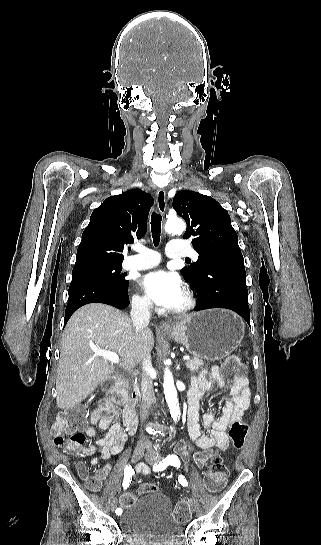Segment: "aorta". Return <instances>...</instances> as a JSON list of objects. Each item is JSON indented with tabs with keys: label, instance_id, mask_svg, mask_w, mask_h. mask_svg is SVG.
Instances as JSON below:
<instances>
[{
	"label": "aorta",
	"instance_id": "1",
	"mask_svg": "<svg viewBox=\"0 0 321 545\" xmlns=\"http://www.w3.org/2000/svg\"><path fill=\"white\" fill-rule=\"evenodd\" d=\"M185 228V223L178 218L169 219L165 224V231L173 235L182 234ZM163 387L165 399L169 406L171 417L174 421H177V419L180 417L177 390L174 385L172 373L168 368L165 369Z\"/></svg>",
	"mask_w": 321,
	"mask_h": 545
}]
</instances>
